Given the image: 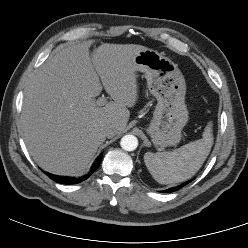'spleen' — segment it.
Here are the masks:
<instances>
[{"mask_svg":"<svg viewBox=\"0 0 248 248\" xmlns=\"http://www.w3.org/2000/svg\"><path fill=\"white\" fill-rule=\"evenodd\" d=\"M212 145V123H209L203 132L202 139L171 152H147L144 155V162L158 183H179L198 172L209 155Z\"/></svg>","mask_w":248,"mask_h":248,"instance_id":"obj_1","label":"spleen"}]
</instances>
